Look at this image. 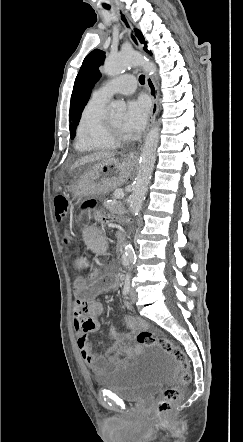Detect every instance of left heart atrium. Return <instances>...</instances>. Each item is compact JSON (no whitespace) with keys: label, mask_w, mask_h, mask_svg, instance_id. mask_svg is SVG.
I'll use <instances>...</instances> for the list:
<instances>
[{"label":"left heart atrium","mask_w":243,"mask_h":442,"mask_svg":"<svg viewBox=\"0 0 243 442\" xmlns=\"http://www.w3.org/2000/svg\"><path fill=\"white\" fill-rule=\"evenodd\" d=\"M148 113L149 102L145 97L141 96L129 101L123 120L124 130L129 133L142 130L146 124Z\"/></svg>","instance_id":"1"}]
</instances>
